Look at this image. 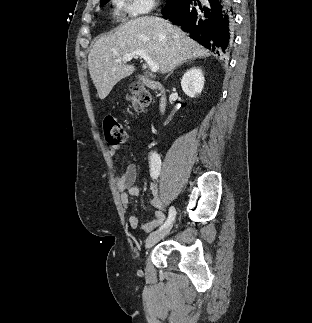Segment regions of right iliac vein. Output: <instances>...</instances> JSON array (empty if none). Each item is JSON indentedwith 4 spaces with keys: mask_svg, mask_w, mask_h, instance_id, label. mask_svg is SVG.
Returning <instances> with one entry per match:
<instances>
[{
    "mask_svg": "<svg viewBox=\"0 0 312 323\" xmlns=\"http://www.w3.org/2000/svg\"><path fill=\"white\" fill-rule=\"evenodd\" d=\"M171 227H166L151 233L147 239L145 246L147 249L151 248L154 244H156L159 240L163 239L170 231Z\"/></svg>",
    "mask_w": 312,
    "mask_h": 323,
    "instance_id": "63e3f726",
    "label": "right iliac vein"
}]
</instances>
